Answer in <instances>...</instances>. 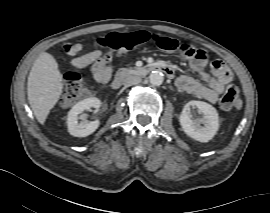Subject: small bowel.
I'll return each instance as SVG.
<instances>
[{
    "instance_id": "obj_1",
    "label": "small bowel",
    "mask_w": 270,
    "mask_h": 213,
    "mask_svg": "<svg viewBox=\"0 0 270 213\" xmlns=\"http://www.w3.org/2000/svg\"><path fill=\"white\" fill-rule=\"evenodd\" d=\"M82 50L83 44L81 43H67L63 47L65 54L73 56L71 65L74 68L80 69L90 66V72L94 80L99 84L107 85L113 75L111 67L102 58L98 50H91L79 55ZM187 57L190 67L200 76L202 82L191 76H181L177 82L178 86L189 95L202 97L211 102H215L218 96L224 91L225 86L232 80L231 75L229 74L226 78H220L215 72L214 74L209 73L206 68L205 60H197L191 56ZM218 62L219 61H215L213 64ZM168 66L174 73L172 66Z\"/></svg>"
}]
</instances>
